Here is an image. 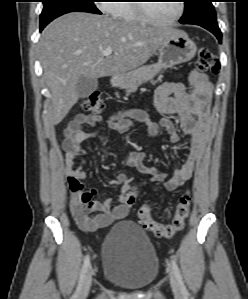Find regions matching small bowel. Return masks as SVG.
<instances>
[{"instance_id":"c3829d8e","label":"small bowel","mask_w":248,"mask_h":299,"mask_svg":"<svg viewBox=\"0 0 248 299\" xmlns=\"http://www.w3.org/2000/svg\"><path fill=\"white\" fill-rule=\"evenodd\" d=\"M188 81L192 88L191 92L186 90L182 82H164L156 89L154 96V103L159 112L179 116L180 127L190 141V153L187 160L174 171L170 178H167L165 173L144 164L146 154L142 151L131 152L127 159L129 166L139 173L151 174L154 181L162 183L169 191L179 188L191 178L194 168L202 158L209 129V106L213 84L205 74L196 71L190 73ZM100 123H102V118L98 115H79L64 131L65 138L62 147L66 152L64 160L70 190L74 188V182L82 183L86 178L84 165L87 151L80 145L85 140L97 136L96 132L86 127H94ZM106 124L108 128L121 134L126 133L135 124H143L150 134H156L158 131V124L151 121L144 113L120 112L111 116ZM160 125L166 129L171 142L179 141V133L168 118H163ZM75 158H79L80 161L78 167L73 169ZM131 181L132 177L125 174L117 176L116 182L122 183V192L119 195L118 204L113 209L109 200L94 199L95 189L84 190L89 199L91 213L94 214L84 217L73 215L80 229L85 232H95L109 226L114 220L123 219L128 213L124 199L130 189Z\"/></svg>"}]
</instances>
